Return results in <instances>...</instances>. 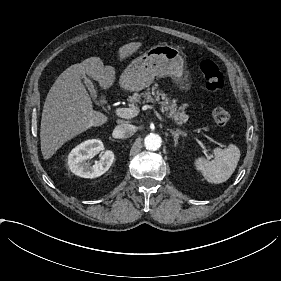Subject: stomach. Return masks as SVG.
Returning a JSON list of instances; mask_svg holds the SVG:
<instances>
[{
  "label": "stomach",
  "instance_id": "1",
  "mask_svg": "<svg viewBox=\"0 0 281 281\" xmlns=\"http://www.w3.org/2000/svg\"><path fill=\"white\" fill-rule=\"evenodd\" d=\"M183 62L184 59L178 48L171 45L151 46L123 70L119 86L130 92L140 91L150 86L156 76H172L183 83Z\"/></svg>",
  "mask_w": 281,
  "mask_h": 281
}]
</instances>
